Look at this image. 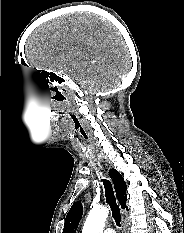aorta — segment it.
Listing matches in <instances>:
<instances>
[{
  "instance_id": "aorta-1",
  "label": "aorta",
  "mask_w": 184,
  "mask_h": 233,
  "mask_svg": "<svg viewBox=\"0 0 184 233\" xmlns=\"http://www.w3.org/2000/svg\"><path fill=\"white\" fill-rule=\"evenodd\" d=\"M108 217L106 207L92 209L83 226L82 233H103V228Z\"/></svg>"
}]
</instances>
